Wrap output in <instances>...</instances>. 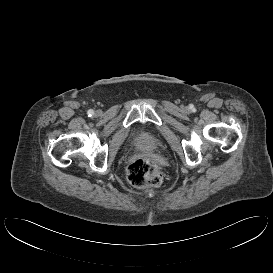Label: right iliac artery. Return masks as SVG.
Instances as JSON below:
<instances>
[{
  "label": "right iliac artery",
  "instance_id": "82829eb1",
  "mask_svg": "<svg viewBox=\"0 0 273 273\" xmlns=\"http://www.w3.org/2000/svg\"><path fill=\"white\" fill-rule=\"evenodd\" d=\"M87 114L89 117H91L94 114V111L92 109H90V110H88Z\"/></svg>",
  "mask_w": 273,
  "mask_h": 273
}]
</instances>
